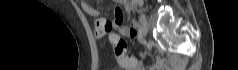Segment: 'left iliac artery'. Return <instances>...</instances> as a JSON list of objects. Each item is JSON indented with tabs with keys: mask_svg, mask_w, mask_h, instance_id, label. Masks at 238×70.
Listing matches in <instances>:
<instances>
[{
	"mask_svg": "<svg viewBox=\"0 0 238 70\" xmlns=\"http://www.w3.org/2000/svg\"><path fill=\"white\" fill-rule=\"evenodd\" d=\"M133 26H134L135 28H137V27L139 26V23H138L137 21L133 20Z\"/></svg>",
	"mask_w": 238,
	"mask_h": 70,
	"instance_id": "left-iliac-artery-1",
	"label": "left iliac artery"
}]
</instances>
